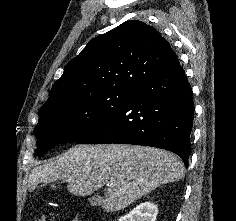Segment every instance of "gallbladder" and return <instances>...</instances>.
I'll return each instance as SVG.
<instances>
[{
  "mask_svg": "<svg viewBox=\"0 0 236 221\" xmlns=\"http://www.w3.org/2000/svg\"><path fill=\"white\" fill-rule=\"evenodd\" d=\"M89 202L92 206H100L103 203V199L100 196H93L89 199Z\"/></svg>",
  "mask_w": 236,
  "mask_h": 221,
  "instance_id": "gallbladder-1",
  "label": "gallbladder"
}]
</instances>
